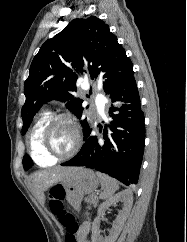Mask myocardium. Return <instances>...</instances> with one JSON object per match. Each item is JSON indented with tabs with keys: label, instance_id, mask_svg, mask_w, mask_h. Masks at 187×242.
<instances>
[{
	"label": "myocardium",
	"instance_id": "obj_1",
	"mask_svg": "<svg viewBox=\"0 0 187 242\" xmlns=\"http://www.w3.org/2000/svg\"><path fill=\"white\" fill-rule=\"evenodd\" d=\"M58 122H64V123L69 124L72 127L74 135H75V142H74L73 147L71 148L70 151H68L67 153H64V154L52 153L47 146L48 135H49L51 129L53 128V126L55 124H57ZM81 145H82V135H81L80 128H79L77 122L75 121V119L68 114H57V115L50 117L48 119L47 123L45 124V126L41 132V135H40V148H41L42 152L44 153L45 156L52 158L56 161L65 160V159L73 157L80 150Z\"/></svg>",
	"mask_w": 187,
	"mask_h": 242
}]
</instances>
